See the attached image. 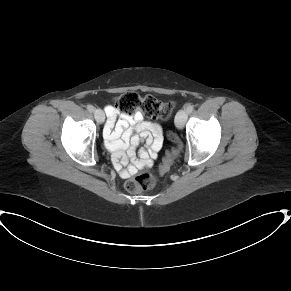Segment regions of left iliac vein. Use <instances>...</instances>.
I'll use <instances>...</instances> for the list:
<instances>
[{
    "instance_id": "1",
    "label": "left iliac vein",
    "mask_w": 291,
    "mask_h": 291,
    "mask_svg": "<svg viewBox=\"0 0 291 291\" xmlns=\"http://www.w3.org/2000/svg\"><path fill=\"white\" fill-rule=\"evenodd\" d=\"M188 118V112L186 110H179L175 116V125L178 129H183L186 120Z\"/></svg>"
}]
</instances>
